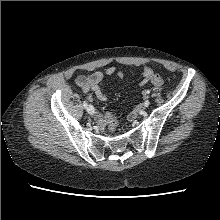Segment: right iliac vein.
I'll use <instances>...</instances> for the list:
<instances>
[{
    "instance_id": "63e3f726",
    "label": "right iliac vein",
    "mask_w": 220,
    "mask_h": 220,
    "mask_svg": "<svg viewBox=\"0 0 220 220\" xmlns=\"http://www.w3.org/2000/svg\"><path fill=\"white\" fill-rule=\"evenodd\" d=\"M94 111H95L94 107L92 105H89L87 108V112L92 115V114H94Z\"/></svg>"
}]
</instances>
